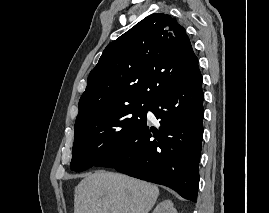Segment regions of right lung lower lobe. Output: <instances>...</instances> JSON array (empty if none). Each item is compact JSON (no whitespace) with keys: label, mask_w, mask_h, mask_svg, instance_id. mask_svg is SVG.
I'll list each match as a JSON object with an SVG mask.
<instances>
[{"label":"right lung lower lobe","mask_w":270,"mask_h":213,"mask_svg":"<svg viewBox=\"0 0 270 213\" xmlns=\"http://www.w3.org/2000/svg\"><path fill=\"white\" fill-rule=\"evenodd\" d=\"M204 94L198 66L179 84L159 96L150 111L158 129L147 122L97 166L168 186L196 201L203 137Z\"/></svg>","instance_id":"1"}]
</instances>
